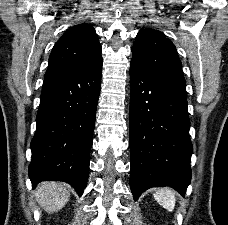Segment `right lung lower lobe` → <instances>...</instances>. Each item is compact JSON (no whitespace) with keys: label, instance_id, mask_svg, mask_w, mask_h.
<instances>
[{"label":"right lung lower lobe","instance_id":"1","mask_svg":"<svg viewBox=\"0 0 228 225\" xmlns=\"http://www.w3.org/2000/svg\"><path fill=\"white\" fill-rule=\"evenodd\" d=\"M102 58L79 70L45 78L31 141L29 177L69 183L81 195L89 173V156L101 87Z\"/></svg>","mask_w":228,"mask_h":225}]
</instances>
